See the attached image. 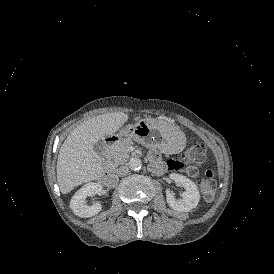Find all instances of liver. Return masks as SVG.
Here are the masks:
<instances>
[{"instance_id": "obj_1", "label": "liver", "mask_w": 274, "mask_h": 274, "mask_svg": "<svg viewBox=\"0 0 274 274\" xmlns=\"http://www.w3.org/2000/svg\"><path fill=\"white\" fill-rule=\"evenodd\" d=\"M128 120L123 112L98 115L76 127L64 141L57 160V182L62 194L104 174L94 145L113 135Z\"/></svg>"}]
</instances>
